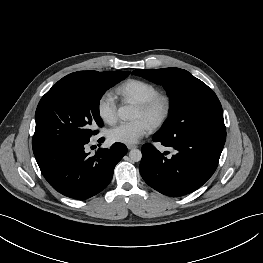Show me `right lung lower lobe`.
<instances>
[{
    "mask_svg": "<svg viewBox=\"0 0 263 263\" xmlns=\"http://www.w3.org/2000/svg\"><path fill=\"white\" fill-rule=\"evenodd\" d=\"M89 140L65 143L35 156L48 183L73 199H87L102 191L111 181L116 164L127 153L122 143L99 149L94 156L85 152Z\"/></svg>",
    "mask_w": 263,
    "mask_h": 263,
    "instance_id": "1",
    "label": "right lung lower lobe"
}]
</instances>
